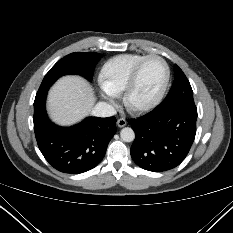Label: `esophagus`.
I'll return each instance as SVG.
<instances>
[{
	"label": "esophagus",
	"mask_w": 233,
	"mask_h": 233,
	"mask_svg": "<svg viewBox=\"0 0 233 233\" xmlns=\"http://www.w3.org/2000/svg\"><path fill=\"white\" fill-rule=\"evenodd\" d=\"M127 125V121L124 118H120L117 120V126L122 128Z\"/></svg>",
	"instance_id": "esophagus-1"
}]
</instances>
